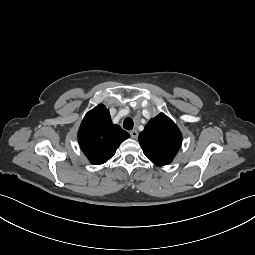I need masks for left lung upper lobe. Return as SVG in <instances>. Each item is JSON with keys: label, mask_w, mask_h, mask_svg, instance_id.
<instances>
[{"label": "left lung upper lobe", "mask_w": 255, "mask_h": 255, "mask_svg": "<svg viewBox=\"0 0 255 255\" xmlns=\"http://www.w3.org/2000/svg\"><path fill=\"white\" fill-rule=\"evenodd\" d=\"M139 143L150 161L156 165H167L176 156L182 136L176 124L160 113L139 134Z\"/></svg>", "instance_id": "5c2ea615"}]
</instances>
